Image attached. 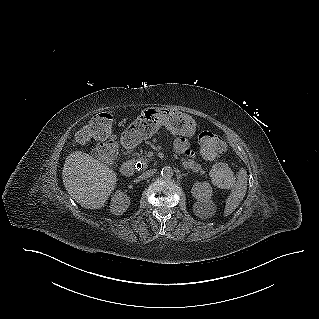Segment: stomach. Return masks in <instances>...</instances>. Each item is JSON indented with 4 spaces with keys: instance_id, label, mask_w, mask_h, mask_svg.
Segmentation results:
<instances>
[{
    "instance_id": "1",
    "label": "stomach",
    "mask_w": 319,
    "mask_h": 319,
    "mask_svg": "<svg viewBox=\"0 0 319 319\" xmlns=\"http://www.w3.org/2000/svg\"><path fill=\"white\" fill-rule=\"evenodd\" d=\"M163 126L172 134L184 137H192L196 131V123L188 114L170 107H151L138 112L125 133L139 143Z\"/></svg>"
}]
</instances>
